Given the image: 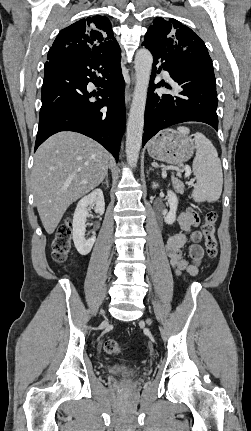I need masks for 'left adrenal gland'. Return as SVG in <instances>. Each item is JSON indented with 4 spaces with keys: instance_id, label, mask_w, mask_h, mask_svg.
<instances>
[{
    "instance_id": "a2214340",
    "label": "left adrenal gland",
    "mask_w": 251,
    "mask_h": 431,
    "mask_svg": "<svg viewBox=\"0 0 251 431\" xmlns=\"http://www.w3.org/2000/svg\"><path fill=\"white\" fill-rule=\"evenodd\" d=\"M151 170H153V168H152V167H149V171H151Z\"/></svg>"
}]
</instances>
